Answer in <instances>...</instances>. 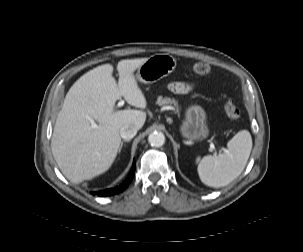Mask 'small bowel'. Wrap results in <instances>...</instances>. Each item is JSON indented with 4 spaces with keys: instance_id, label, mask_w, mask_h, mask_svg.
Masks as SVG:
<instances>
[{
    "instance_id": "small-bowel-1",
    "label": "small bowel",
    "mask_w": 303,
    "mask_h": 252,
    "mask_svg": "<svg viewBox=\"0 0 303 252\" xmlns=\"http://www.w3.org/2000/svg\"><path fill=\"white\" fill-rule=\"evenodd\" d=\"M168 88L174 94L186 95L193 90L194 85L190 82H171Z\"/></svg>"
}]
</instances>
